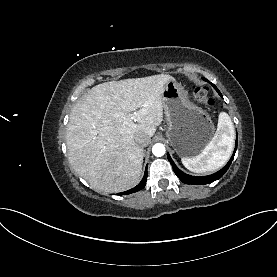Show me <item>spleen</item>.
Here are the masks:
<instances>
[{
  "label": "spleen",
  "mask_w": 277,
  "mask_h": 277,
  "mask_svg": "<svg viewBox=\"0 0 277 277\" xmlns=\"http://www.w3.org/2000/svg\"><path fill=\"white\" fill-rule=\"evenodd\" d=\"M234 145V126L230 116L221 112L216 133L202 152L192 158H181L182 164L195 173L213 172L226 164Z\"/></svg>",
  "instance_id": "1"
}]
</instances>
